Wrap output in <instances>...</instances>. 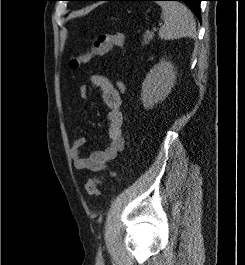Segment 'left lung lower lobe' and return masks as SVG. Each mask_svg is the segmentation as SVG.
Returning a JSON list of instances; mask_svg holds the SVG:
<instances>
[{"instance_id":"obj_1","label":"left lung lower lobe","mask_w":245,"mask_h":265,"mask_svg":"<svg viewBox=\"0 0 245 265\" xmlns=\"http://www.w3.org/2000/svg\"><path fill=\"white\" fill-rule=\"evenodd\" d=\"M83 1H102V0H83ZM106 1H124V0H106ZM151 1H159V0H151ZM175 1H183L190 6L193 12L196 14L198 19H200V1L202 0H175Z\"/></svg>"}]
</instances>
